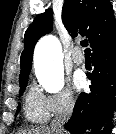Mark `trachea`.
I'll return each mask as SVG.
<instances>
[{"label":"trachea","instance_id":"3493384b","mask_svg":"<svg viewBox=\"0 0 116 134\" xmlns=\"http://www.w3.org/2000/svg\"><path fill=\"white\" fill-rule=\"evenodd\" d=\"M82 47H85V55H90V49L87 48L88 46V41L86 39L81 41Z\"/></svg>","mask_w":116,"mask_h":134}]
</instances>
